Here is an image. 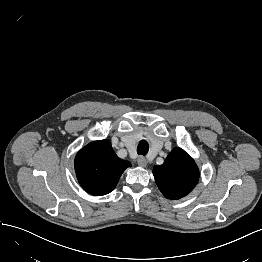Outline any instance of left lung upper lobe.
Wrapping results in <instances>:
<instances>
[{"instance_id": "5c2ea615", "label": "left lung upper lobe", "mask_w": 262, "mask_h": 262, "mask_svg": "<svg viewBox=\"0 0 262 262\" xmlns=\"http://www.w3.org/2000/svg\"><path fill=\"white\" fill-rule=\"evenodd\" d=\"M158 188L168 199H180L196 186L199 170L194 160L181 148H174L162 165L154 166Z\"/></svg>"}]
</instances>
